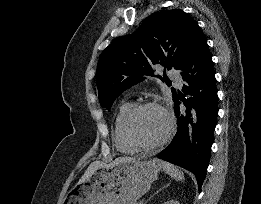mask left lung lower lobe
<instances>
[{
    "mask_svg": "<svg viewBox=\"0 0 261 204\" xmlns=\"http://www.w3.org/2000/svg\"><path fill=\"white\" fill-rule=\"evenodd\" d=\"M180 70L186 85L182 90L184 94H176L173 99L177 132L158 157L194 173L201 192L218 115V96L212 55L200 30ZM186 95L190 97L185 99ZM181 101L186 110L180 109Z\"/></svg>",
    "mask_w": 261,
    "mask_h": 204,
    "instance_id": "1",
    "label": "left lung lower lobe"
}]
</instances>
